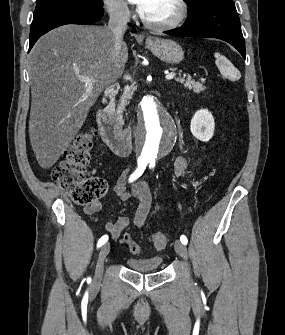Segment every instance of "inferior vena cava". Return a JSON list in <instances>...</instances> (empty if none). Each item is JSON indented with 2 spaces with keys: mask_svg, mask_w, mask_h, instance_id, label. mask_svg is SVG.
Listing matches in <instances>:
<instances>
[{
  "mask_svg": "<svg viewBox=\"0 0 285 335\" xmlns=\"http://www.w3.org/2000/svg\"><path fill=\"white\" fill-rule=\"evenodd\" d=\"M107 12L109 14L108 28L113 32L116 40V50H120L122 38L128 28L130 12L123 0H109L107 2Z\"/></svg>",
  "mask_w": 285,
  "mask_h": 335,
  "instance_id": "inferior-vena-cava-1",
  "label": "inferior vena cava"
}]
</instances>
